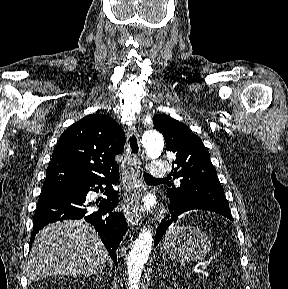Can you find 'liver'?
I'll use <instances>...</instances> for the list:
<instances>
[{"mask_svg": "<svg viewBox=\"0 0 288 289\" xmlns=\"http://www.w3.org/2000/svg\"><path fill=\"white\" fill-rule=\"evenodd\" d=\"M109 255L94 228L84 220L50 224L36 237L29 255L31 281L46 276L90 275L102 270Z\"/></svg>", "mask_w": 288, "mask_h": 289, "instance_id": "liver-1", "label": "liver"}]
</instances>
